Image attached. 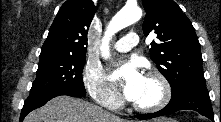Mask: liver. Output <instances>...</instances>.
Segmentation results:
<instances>
[{
	"label": "liver",
	"instance_id": "1",
	"mask_svg": "<svg viewBox=\"0 0 221 122\" xmlns=\"http://www.w3.org/2000/svg\"><path fill=\"white\" fill-rule=\"evenodd\" d=\"M24 122H129L82 99L58 96L32 111Z\"/></svg>",
	"mask_w": 221,
	"mask_h": 122
}]
</instances>
